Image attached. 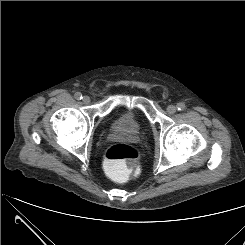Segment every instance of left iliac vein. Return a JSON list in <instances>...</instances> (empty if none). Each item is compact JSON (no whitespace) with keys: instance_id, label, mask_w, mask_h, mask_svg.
I'll use <instances>...</instances> for the list:
<instances>
[{"instance_id":"left-iliac-vein-1","label":"left iliac vein","mask_w":245,"mask_h":245,"mask_svg":"<svg viewBox=\"0 0 245 245\" xmlns=\"http://www.w3.org/2000/svg\"><path fill=\"white\" fill-rule=\"evenodd\" d=\"M176 110H177V108H176L174 105H169V106L167 107V112H168L169 114H174V113L176 112Z\"/></svg>"}]
</instances>
